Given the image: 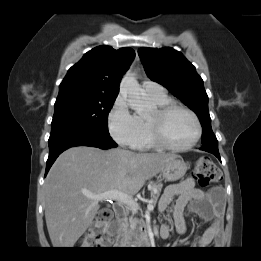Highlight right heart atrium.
Returning <instances> with one entry per match:
<instances>
[{
  "instance_id": "right-heart-atrium-1",
  "label": "right heart atrium",
  "mask_w": 261,
  "mask_h": 261,
  "mask_svg": "<svg viewBox=\"0 0 261 261\" xmlns=\"http://www.w3.org/2000/svg\"><path fill=\"white\" fill-rule=\"evenodd\" d=\"M108 128L112 138L122 146L136 147L140 125L122 95H118L109 111Z\"/></svg>"
}]
</instances>
